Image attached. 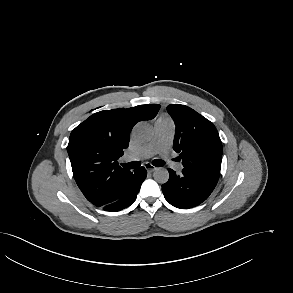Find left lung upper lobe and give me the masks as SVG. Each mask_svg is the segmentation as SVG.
<instances>
[{"mask_svg": "<svg viewBox=\"0 0 293 293\" xmlns=\"http://www.w3.org/2000/svg\"><path fill=\"white\" fill-rule=\"evenodd\" d=\"M167 111L176 125L173 149L184 168L219 178L222 142L213 123L185 105L171 104Z\"/></svg>", "mask_w": 293, "mask_h": 293, "instance_id": "5c2ea615", "label": "left lung upper lobe"}]
</instances>
